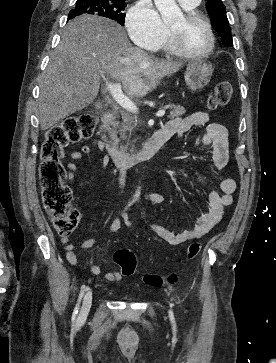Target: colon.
I'll use <instances>...</instances> for the list:
<instances>
[{"label":"colon","mask_w":276,"mask_h":363,"mask_svg":"<svg viewBox=\"0 0 276 363\" xmlns=\"http://www.w3.org/2000/svg\"><path fill=\"white\" fill-rule=\"evenodd\" d=\"M232 95V86L228 82H220L208 98V106L216 110L225 106ZM96 118L91 113L68 116L60 123L49 128L41 147V164L39 179L43 206L51 218L57 234L70 235L80 220V212L71 206L72 191L66 185L67 171L62 163L65 148L72 143L88 139L92 136ZM200 250L199 243H192L187 249V258L194 259ZM114 260L122 268L125 276H130L136 269V257L127 249L119 250ZM177 280V275H171L166 281L159 275L145 274L143 281L148 286L160 287L165 282L170 284Z\"/></svg>","instance_id":"5ec220e1"}]
</instances>
